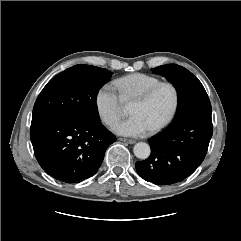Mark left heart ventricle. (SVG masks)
I'll use <instances>...</instances> for the list:
<instances>
[{"label": "left heart ventricle", "instance_id": "b2bd125f", "mask_svg": "<svg viewBox=\"0 0 241 241\" xmlns=\"http://www.w3.org/2000/svg\"><path fill=\"white\" fill-rule=\"evenodd\" d=\"M172 105L173 93L170 88L163 87L146 103L132 102L129 113L141 116L151 129L167 117Z\"/></svg>", "mask_w": 241, "mask_h": 241}]
</instances>
